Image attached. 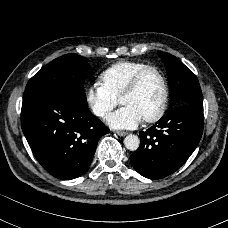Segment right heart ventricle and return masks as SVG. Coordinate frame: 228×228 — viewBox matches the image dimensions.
<instances>
[{
  "label": "right heart ventricle",
  "instance_id": "1",
  "mask_svg": "<svg viewBox=\"0 0 228 228\" xmlns=\"http://www.w3.org/2000/svg\"><path fill=\"white\" fill-rule=\"evenodd\" d=\"M149 66L139 61H119L100 73L102 86L115 98L120 99L123 91L131 82L135 74Z\"/></svg>",
  "mask_w": 228,
  "mask_h": 228
}]
</instances>
